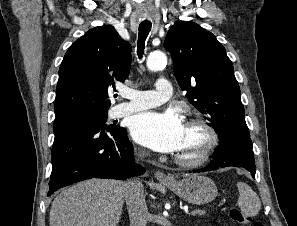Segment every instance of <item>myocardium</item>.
<instances>
[{
    "instance_id": "1",
    "label": "myocardium",
    "mask_w": 297,
    "mask_h": 226,
    "mask_svg": "<svg viewBox=\"0 0 297 226\" xmlns=\"http://www.w3.org/2000/svg\"><path fill=\"white\" fill-rule=\"evenodd\" d=\"M186 126L199 127L206 136V141L202 149L192 157H184L176 154L174 156L175 162L184 167H197L212 156L219 143V135L215 128L202 117H192L186 121Z\"/></svg>"
}]
</instances>
